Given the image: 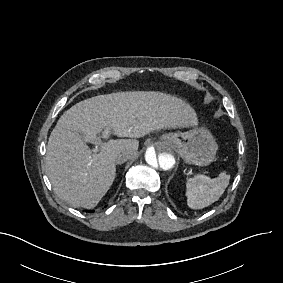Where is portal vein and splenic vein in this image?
<instances>
[{
    "instance_id": "obj_1",
    "label": "portal vein and splenic vein",
    "mask_w": 283,
    "mask_h": 283,
    "mask_svg": "<svg viewBox=\"0 0 283 283\" xmlns=\"http://www.w3.org/2000/svg\"><path fill=\"white\" fill-rule=\"evenodd\" d=\"M103 138H108L107 132H104ZM93 151L96 152V151H97V147H95V148L93 149Z\"/></svg>"
}]
</instances>
